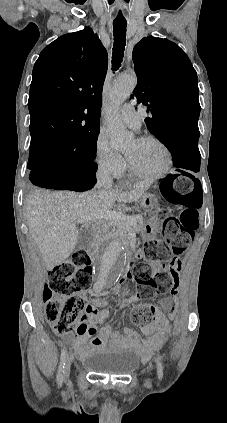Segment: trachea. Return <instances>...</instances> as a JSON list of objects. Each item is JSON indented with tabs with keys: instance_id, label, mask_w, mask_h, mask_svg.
Instances as JSON below:
<instances>
[{
	"instance_id": "3493384b",
	"label": "trachea",
	"mask_w": 227,
	"mask_h": 423,
	"mask_svg": "<svg viewBox=\"0 0 227 423\" xmlns=\"http://www.w3.org/2000/svg\"><path fill=\"white\" fill-rule=\"evenodd\" d=\"M126 27L127 21L125 19L116 18L113 20L114 44L112 52V70L114 72L121 66L124 56L126 45Z\"/></svg>"
}]
</instances>
